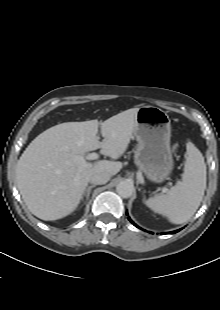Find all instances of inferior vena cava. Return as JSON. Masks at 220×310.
I'll return each instance as SVG.
<instances>
[{
  "label": "inferior vena cava",
  "mask_w": 220,
  "mask_h": 310,
  "mask_svg": "<svg viewBox=\"0 0 220 310\" xmlns=\"http://www.w3.org/2000/svg\"><path fill=\"white\" fill-rule=\"evenodd\" d=\"M110 180V175L108 173H95L91 176L90 181L93 184L102 185Z\"/></svg>",
  "instance_id": "obj_1"
}]
</instances>
